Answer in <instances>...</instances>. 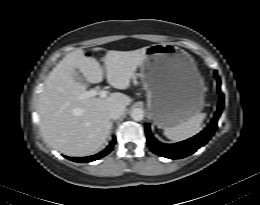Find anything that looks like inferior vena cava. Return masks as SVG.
<instances>
[{
  "instance_id": "1",
  "label": "inferior vena cava",
  "mask_w": 260,
  "mask_h": 205,
  "mask_svg": "<svg viewBox=\"0 0 260 205\" xmlns=\"http://www.w3.org/2000/svg\"><path fill=\"white\" fill-rule=\"evenodd\" d=\"M124 111H125L124 106L116 105V106L111 107L108 110V116L110 119H118L120 116L123 115Z\"/></svg>"
}]
</instances>
